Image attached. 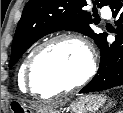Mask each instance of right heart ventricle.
<instances>
[{"instance_id":"right-heart-ventricle-1","label":"right heart ventricle","mask_w":123,"mask_h":113,"mask_svg":"<svg viewBox=\"0 0 123 113\" xmlns=\"http://www.w3.org/2000/svg\"><path fill=\"white\" fill-rule=\"evenodd\" d=\"M30 54L24 59L22 65L20 66L19 70H18V74H17V83H18V86L20 88H26V85H25V80H24V69H25V65H26V62H27V59L29 58Z\"/></svg>"}]
</instances>
